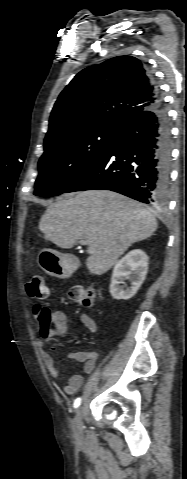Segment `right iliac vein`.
I'll return each mask as SVG.
<instances>
[{
    "label": "right iliac vein",
    "instance_id": "obj_1",
    "mask_svg": "<svg viewBox=\"0 0 187 479\" xmlns=\"http://www.w3.org/2000/svg\"><path fill=\"white\" fill-rule=\"evenodd\" d=\"M83 412H84L83 407L82 406L78 407L77 410H76V414H75V416L73 418V421H72V427L77 434L80 433L81 428H82Z\"/></svg>",
    "mask_w": 187,
    "mask_h": 479
}]
</instances>
